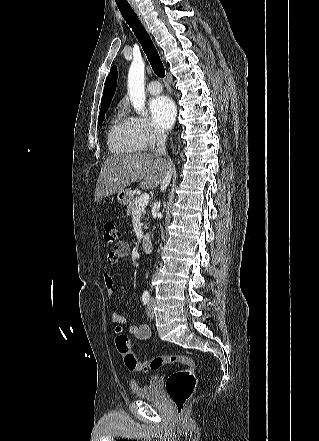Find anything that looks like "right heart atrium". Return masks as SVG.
Segmentation results:
<instances>
[{
	"label": "right heart atrium",
	"instance_id": "obj_1",
	"mask_svg": "<svg viewBox=\"0 0 319 441\" xmlns=\"http://www.w3.org/2000/svg\"><path fill=\"white\" fill-rule=\"evenodd\" d=\"M128 125L131 138L139 151L151 150L165 139L164 134L143 117H130Z\"/></svg>",
	"mask_w": 319,
	"mask_h": 441
}]
</instances>
